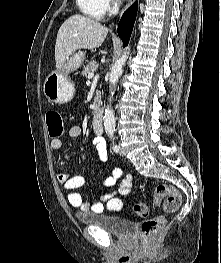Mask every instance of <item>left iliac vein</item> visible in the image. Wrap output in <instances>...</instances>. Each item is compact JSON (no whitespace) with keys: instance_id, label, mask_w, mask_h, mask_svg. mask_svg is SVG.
Segmentation results:
<instances>
[{"instance_id":"4c4485c4","label":"left iliac vein","mask_w":221,"mask_h":263,"mask_svg":"<svg viewBox=\"0 0 221 263\" xmlns=\"http://www.w3.org/2000/svg\"><path fill=\"white\" fill-rule=\"evenodd\" d=\"M119 148H120V147H119ZM120 154L123 155V151H122V150L120 151Z\"/></svg>"}]
</instances>
